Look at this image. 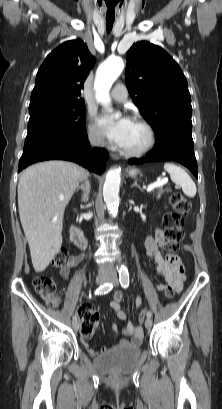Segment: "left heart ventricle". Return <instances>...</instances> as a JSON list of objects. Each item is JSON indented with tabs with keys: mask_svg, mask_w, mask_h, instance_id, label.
<instances>
[{
	"mask_svg": "<svg viewBox=\"0 0 222 409\" xmlns=\"http://www.w3.org/2000/svg\"><path fill=\"white\" fill-rule=\"evenodd\" d=\"M148 140V135L146 130L137 123L132 122L122 148L137 150L142 148Z\"/></svg>",
	"mask_w": 222,
	"mask_h": 409,
	"instance_id": "1",
	"label": "left heart ventricle"
}]
</instances>
